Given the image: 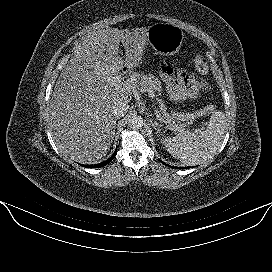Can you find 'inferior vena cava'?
Returning a JSON list of instances; mask_svg holds the SVG:
<instances>
[{"instance_id":"602c4592","label":"inferior vena cava","mask_w":272,"mask_h":272,"mask_svg":"<svg viewBox=\"0 0 272 272\" xmlns=\"http://www.w3.org/2000/svg\"><path fill=\"white\" fill-rule=\"evenodd\" d=\"M128 109H129V105L127 102L123 100H118L113 105V115L116 118L123 117L128 112Z\"/></svg>"}]
</instances>
